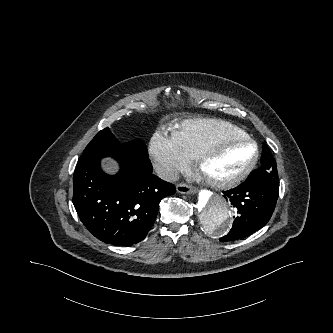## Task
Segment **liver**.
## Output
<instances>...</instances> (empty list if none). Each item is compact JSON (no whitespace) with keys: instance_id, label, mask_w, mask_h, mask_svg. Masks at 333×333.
Instances as JSON below:
<instances>
[{"instance_id":"obj_1","label":"liver","mask_w":333,"mask_h":333,"mask_svg":"<svg viewBox=\"0 0 333 333\" xmlns=\"http://www.w3.org/2000/svg\"><path fill=\"white\" fill-rule=\"evenodd\" d=\"M102 165L104 170L109 174H115L118 170L109 160H104Z\"/></svg>"}]
</instances>
